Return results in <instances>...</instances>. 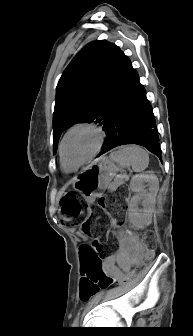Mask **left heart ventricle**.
Segmentation results:
<instances>
[{"mask_svg":"<svg viewBox=\"0 0 193 336\" xmlns=\"http://www.w3.org/2000/svg\"><path fill=\"white\" fill-rule=\"evenodd\" d=\"M98 137L90 129H77L66 139L64 144V156L66 160L75 165L86 159L96 148Z\"/></svg>","mask_w":193,"mask_h":336,"instance_id":"left-heart-ventricle-1","label":"left heart ventricle"}]
</instances>
